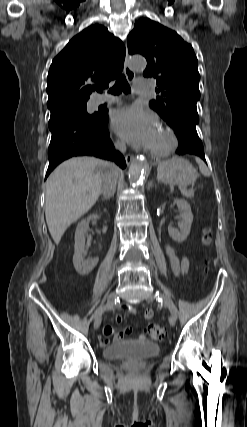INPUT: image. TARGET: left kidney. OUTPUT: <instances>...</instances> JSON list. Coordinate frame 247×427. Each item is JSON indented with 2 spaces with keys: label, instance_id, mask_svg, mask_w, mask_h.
Masks as SVG:
<instances>
[{
  "label": "left kidney",
  "instance_id": "1",
  "mask_svg": "<svg viewBox=\"0 0 247 427\" xmlns=\"http://www.w3.org/2000/svg\"><path fill=\"white\" fill-rule=\"evenodd\" d=\"M174 202L177 204L180 211V221L178 222V228L169 226L168 233L174 241L181 243L185 241L190 234L193 214L190 204L187 201L175 199Z\"/></svg>",
  "mask_w": 247,
  "mask_h": 427
}]
</instances>
